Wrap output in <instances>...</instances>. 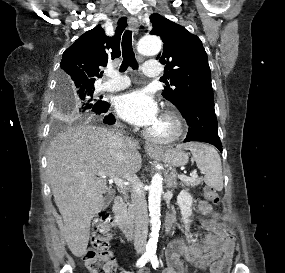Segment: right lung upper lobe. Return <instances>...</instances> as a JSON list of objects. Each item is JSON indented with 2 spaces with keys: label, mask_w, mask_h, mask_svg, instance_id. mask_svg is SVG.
<instances>
[{
  "label": "right lung upper lobe",
  "mask_w": 285,
  "mask_h": 273,
  "mask_svg": "<svg viewBox=\"0 0 285 273\" xmlns=\"http://www.w3.org/2000/svg\"><path fill=\"white\" fill-rule=\"evenodd\" d=\"M126 27V18L119 19L114 36L105 34L101 25L81 35L63 53L61 60V76L74 86H94L101 77V67L107 66L108 60L118 58L120 38Z\"/></svg>",
  "instance_id": "1"
}]
</instances>
